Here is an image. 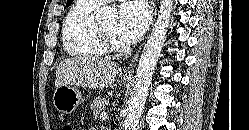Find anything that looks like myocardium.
Here are the masks:
<instances>
[{"mask_svg": "<svg viewBox=\"0 0 249 130\" xmlns=\"http://www.w3.org/2000/svg\"><path fill=\"white\" fill-rule=\"evenodd\" d=\"M97 30L100 40L107 51H113L118 48L115 34L107 32L100 24L97 23Z\"/></svg>", "mask_w": 249, "mask_h": 130, "instance_id": "obj_1", "label": "myocardium"}]
</instances>
